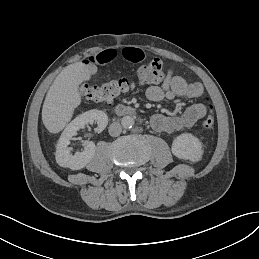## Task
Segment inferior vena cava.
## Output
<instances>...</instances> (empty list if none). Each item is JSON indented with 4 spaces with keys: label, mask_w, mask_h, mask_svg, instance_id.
I'll return each mask as SVG.
<instances>
[{
    "label": "inferior vena cava",
    "mask_w": 259,
    "mask_h": 259,
    "mask_svg": "<svg viewBox=\"0 0 259 259\" xmlns=\"http://www.w3.org/2000/svg\"><path fill=\"white\" fill-rule=\"evenodd\" d=\"M109 134L113 137H117L122 132V127L118 122H114L109 126Z\"/></svg>",
    "instance_id": "602c4592"
}]
</instances>
